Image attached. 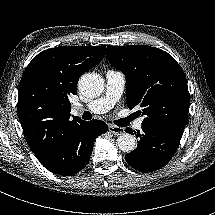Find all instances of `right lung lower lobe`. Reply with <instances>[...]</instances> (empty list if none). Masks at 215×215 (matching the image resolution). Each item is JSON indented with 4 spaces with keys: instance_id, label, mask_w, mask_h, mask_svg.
<instances>
[{
    "instance_id": "1",
    "label": "right lung lower lobe",
    "mask_w": 215,
    "mask_h": 215,
    "mask_svg": "<svg viewBox=\"0 0 215 215\" xmlns=\"http://www.w3.org/2000/svg\"><path fill=\"white\" fill-rule=\"evenodd\" d=\"M107 130L106 123L101 120L76 122L41 163L58 175L76 174L88 164L96 137Z\"/></svg>"
}]
</instances>
